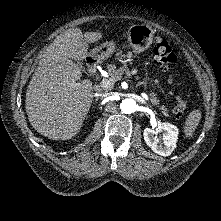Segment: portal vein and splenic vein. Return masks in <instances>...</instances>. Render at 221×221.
I'll list each match as a JSON object with an SVG mask.
<instances>
[{
	"mask_svg": "<svg viewBox=\"0 0 221 221\" xmlns=\"http://www.w3.org/2000/svg\"><path fill=\"white\" fill-rule=\"evenodd\" d=\"M111 85H112V81L111 80L104 79V80L101 81V87L104 88V89L109 88ZM143 97L146 100H148V96L146 94H143Z\"/></svg>",
	"mask_w": 221,
	"mask_h": 221,
	"instance_id": "obj_1",
	"label": "portal vein and splenic vein"
}]
</instances>
